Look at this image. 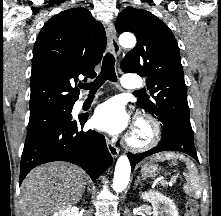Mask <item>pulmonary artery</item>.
<instances>
[{"label":"pulmonary artery","instance_id":"obj_1","mask_svg":"<svg viewBox=\"0 0 221 216\" xmlns=\"http://www.w3.org/2000/svg\"><path fill=\"white\" fill-rule=\"evenodd\" d=\"M121 85L126 88V89H129V90H133V89H137L139 87H141L142 85V82L133 77V76H130V75H125L123 76V78L121 79ZM101 95V93H96L93 98H98L99 96ZM88 100V98H83V99H80L78 102H77V107H80L82 106L86 101Z\"/></svg>","mask_w":221,"mask_h":216}]
</instances>
